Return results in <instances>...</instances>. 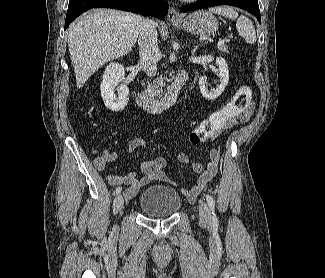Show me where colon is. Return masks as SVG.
<instances>
[{"label": "colon", "instance_id": "colon-1", "mask_svg": "<svg viewBox=\"0 0 325 278\" xmlns=\"http://www.w3.org/2000/svg\"><path fill=\"white\" fill-rule=\"evenodd\" d=\"M252 93L248 86L240 87L233 98L221 108L215 110L190 133L191 143L203 142L224 128L252 105Z\"/></svg>", "mask_w": 325, "mask_h": 278}]
</instances>
